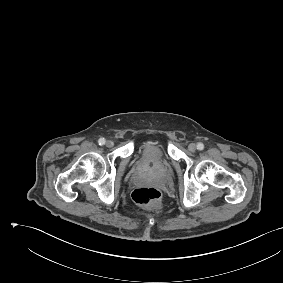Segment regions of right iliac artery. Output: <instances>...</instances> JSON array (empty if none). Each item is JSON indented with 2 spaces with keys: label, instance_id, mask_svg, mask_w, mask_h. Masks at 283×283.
I'll return each mask as SVG.
<instances>
[{
  "label": "right iliac artery",
  "instance_id": "1",
  "mask_svg": "<svg viewBox=\"0 0 283 283\" xmlns=\"http://www.w3.org/2000/svg\"><path fill=\"white\" fill-rule=\"evenodd\" d=\"M99 145H104L105 144V139L104 138H100L98 140Z\"/></svg>",
  "mask_w": 283,
  "mask_h": 283
}]
</instances>
